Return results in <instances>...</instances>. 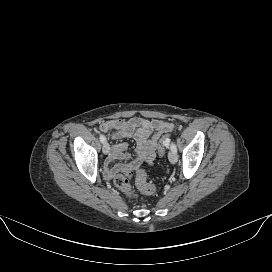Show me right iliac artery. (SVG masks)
<instances>
[{
  "instance_id": "1",
  "label": "right iliac artery",
  "mask_w": 272,
  "mask_h": 272,
  "mask_svg": "<svg viewBox=\"0 0 272 272\" xmlns=\"http://www.w3.org/2000/svg\"><path fill=\"white\" fill-rule=\"evenodd\" d=\"M100 141H101L102 143H104V142L106 141V138H105L104 135H100Z\"/></svg>"
}]
</instances>
